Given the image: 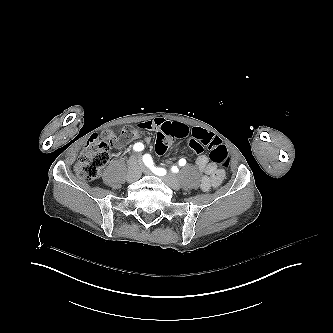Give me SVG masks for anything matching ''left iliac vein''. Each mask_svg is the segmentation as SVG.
I'll list each match as a JSON object with an SVG mask.
<instances>
[{
	"label": "left iliac vein",
	"instance_id": "left-iliac-vein-1",
	"mask_svg": "<svg viewBox=\"0 0 333 333\" xmlns=\"http://www.w3.org/2000/svg\"><path fill=\"white\" fill-rule=\"evenodd\" d=\"M139 167L143 173L147 175H153L152 172L146 168L141 161L139 162ZM162 179L173 190L177 191L180 189V183L175 175L167 173L164 177H162Z\"/></svg>",
	"mask_w": 333,
	"mask_h": 333
}]
</instances>
